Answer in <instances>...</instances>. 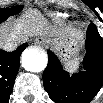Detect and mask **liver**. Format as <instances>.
Here are the masks:
<instances>
[{
  "label": "liver",
  "mask_w": 103,
  "mask_h": 103,
  "mask_svg": "<svg viewBox=\"0 0 103 103\" xmlns=\"http://www.w3.org/2000/svg\"><path fill=\"white\" fill-rule=\"evenodd\" d=\"M77 33L69 27L62 29L49 24L38 10L30 9L12 24L2 26L0 39L1 45L7 42L20 44L33 36L58 38Z\"/></svg>",
  "instance_id": "1"
}]
</instances>
